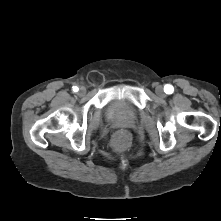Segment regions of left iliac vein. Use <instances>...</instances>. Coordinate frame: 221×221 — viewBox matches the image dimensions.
Segmentation results:
<instances>
[{
    "label": "left iliac vein",
    "instance_id": "obj_1",
    "mask_svg": "<svg viewBox=\"0 0 221 221\" xmlns=\"http://www.w3.org/2000/svg\"><path fill=\"white\" fill-rule=\"evenodd\" d=\"M155 92L159 97H164L165 96L164 89H163L162 86H157L156 89H155Z\"/></svg>",
    "mask_w": 221,
    "mask_h": 221
}]
</instances>
